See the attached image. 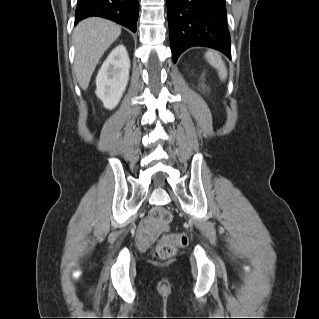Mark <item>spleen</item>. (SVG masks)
<instances>
[{"label":"spleen","instance_id":"1","mask_svg":"<svg viewBox=\"0 0 319 319\" xmlns=\"http://www.w3.org/2000/svg\"><path fill=\"white\" fill-rule=\"evenodd\" d=\"M205 57L210 65L217 69L220 79L225 80L227 77V68L221 56L214 51H208Z\"/></svg>","mask_w":319,"mask_h":319}]
</instances>
